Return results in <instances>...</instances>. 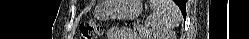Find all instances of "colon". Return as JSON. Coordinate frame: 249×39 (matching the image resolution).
I'll return each mask as SVG.
<instances>
[{
  "label": "colon",
  "mask_w": 249,
  "mask_h": 39,
  "mask_svg": "<svg viewBox=\"0 0 249 39\" xmlns=\"http://www.w3.org/2000/svg\"><path fill=\"white\" fill-rule=\"evenodd\" d=\"M81 39H98L102 36V27L96 22H84L79 26Z\"/></svg>",
  "instance_id": "obj_1"
}]
</instances>
